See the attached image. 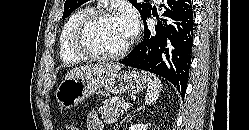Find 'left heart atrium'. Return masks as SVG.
<instances>
[{
	"label": "left heart atrium",
	"instance_id": "left-heart-atrium-1",
	"mask_svg": "<svg viewBox=\"0 0 249 130\" xmlns=\"http://www.w3.org/2000/svg\"><path fill=\"white\" fill-rule=\"evenodd\" d=\"M120 16L128 26L131 35L134 36L138 28V21L135 13L131 9L126 8L122 11Z\"/></svg>",
	"mask_w": 249,
	"mask_h": 130
}]
</instances>
